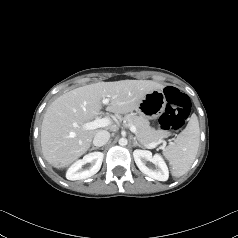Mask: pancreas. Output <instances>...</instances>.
Instances as JSON below:
<instances>
[{
  "mask_svg": "<svg viewBox=\"0 0 238 238\" xmlns=\"http://www.w3.org/2000/svg\"><path fill=\"white\" fill-rule=\"evenodd\" d=\"M118 119L119 121H123L136 127V138L145 147L150 143L161 141L162 138L169 136L167 131L155 130L152 128L148 119L141 115L138 116L134 113H130L124 117H118Z\"/></svg>",
  "mask_w": 238,
  "mask_h": 238,
  "instance_id": "cf45deb5",
  "label": "pancreas"
}]
</instances>
